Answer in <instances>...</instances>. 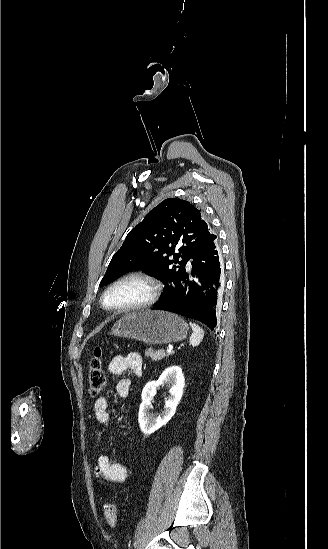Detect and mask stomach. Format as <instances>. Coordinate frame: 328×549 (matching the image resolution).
<instances>
[{"instance_id":"0dacf381","label":"stomach","mask_w":328,"mask_h":549,"mask_svg":"<svg viewBox=\"0 0 328 549\" xmlns=\"http://www.w3.org/2000/svg\"><path fill=\"white\" fill-rule=\"evenodd\" d=\"M188 329L187 323L175 313L139 309L116 321L111 329V335L136 339L147 345H164L183 341Z\"/></svg>"}]
</instances>
